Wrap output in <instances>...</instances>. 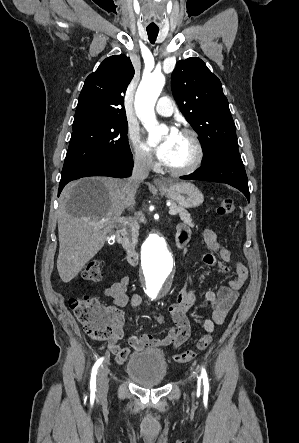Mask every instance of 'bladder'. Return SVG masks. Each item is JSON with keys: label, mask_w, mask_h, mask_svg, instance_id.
<instances>
[{"label": "bladder", "mask_w": 299, "mask_h": 443, "mask_svg": "<svg viewBox=\"0 0 299 443\" xmlns=\"http://www.w3.org/2000/svg\"><path fill=\"white\" fill-rule=\"evenodd\" d=\"M167 362L157 349L140 350L132 354L125 365L127 376L137 385L155 387L167 377Z\"/></svg>", "instance_id": "obj_1"}]
</instances>
